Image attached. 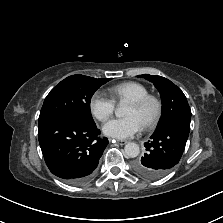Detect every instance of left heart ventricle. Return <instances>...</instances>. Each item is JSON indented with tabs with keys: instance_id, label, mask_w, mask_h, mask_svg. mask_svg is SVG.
Here are the masks:
<instances>
[{
	"instance_id": "obj_1",
	"label": "left heart ventricle",
	"mask_w": 223,
	"mask_h": 223,
	"mask_svg": "<svg viewBox=\"0 0 223 223\" xmlns=\"http://www.w3.org/2000/svg\"><path fill=\"white\" fill-rule=\"evenodd\" d=\"M154 106L153 104H149L146 107L139 109L129 104L125 110V116H133L135 117L139 123L142 125L150 116L153 114Z\"/></svg>"
}]
</instances>
